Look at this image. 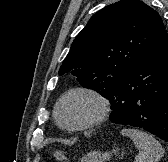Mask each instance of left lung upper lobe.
<instances>
[{
	"label": "left lung upper lobe",
	"mask_w": 168,
	"mask_h": 162,
	"mask_svg": "<svg viewBox=\"0 0 168 162\" xmlns=\"http://www.w3.org/2000/svg\"><path fill=\"white\" fill-rule=\"evenodd\" d=\"M164 30L159 14L139 0H121L95 13L74 39L59 74L111 100L121 81Z\"/></svg>",
	"instance_id": "left-lung-upper-lobe-1"
}]
</instances>
